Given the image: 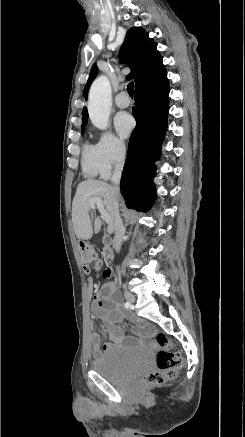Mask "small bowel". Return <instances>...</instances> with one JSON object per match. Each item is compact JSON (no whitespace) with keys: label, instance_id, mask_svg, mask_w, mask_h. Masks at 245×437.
Instances as JSON below:
<instances>
[{"label":"small bowel","instance_id":"c3829d8e","mask_svg":"<svg viewBox=\"0 0 245 437\" xmlns=\"http://www.w3.org/2000/svg\"><path fill=\"white\" fill-rule=\"evenodd\" d=\"M88 284L92 287L93 281L89 279ZM91 311L94 318H98L103 322L109 337L108 342L102 343L99 334L94 331L93 325H91L90 341L94 356L98 357L102 352L134 342V339L127 336L117 324L125 317V314L118 306L116 288L113 284L108 283L102 286L100 292L93 299ZM135 331L140 336H146L150 333L148 326L140 321H137Z\"/></svg>","mask_w":245,"mask_h":437}]
</instances>
